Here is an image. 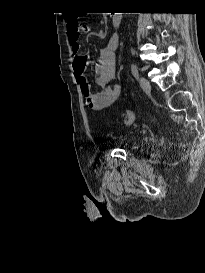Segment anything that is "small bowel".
<instances>
[{"instance_id":"1","label":"small bowel","mask_w":205,"mask_h":273,"mask_svg":"<svg viewBox=\"0 0 205 273\" xmlns=\"http://www.w3.org/2000/svg\"><path fill=\"white\" fill-rule=\"evenodd\" d=\"M75 24H81L77 20L69 21L67 25V34L69 44L75 55L73 62V72L77 83L85 98L88 108L93 110H103L114 102L120 95L121 88L114 83L116 78V55L115 51L118 47V37L113 36L108 44L99 50V57L94 65L96 73V83L99 91L93 92L90 88L87 77L85 76V67L87 63V55L81 52V44L79 36L81 32L86 31L88 27L82 25L76 28Z\"/></svg>"}]
</instances>
